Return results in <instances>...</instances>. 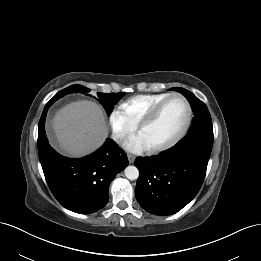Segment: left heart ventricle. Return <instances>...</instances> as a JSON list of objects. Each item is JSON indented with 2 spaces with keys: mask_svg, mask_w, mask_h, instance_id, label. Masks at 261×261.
<instances>
[{
  "mask_svg": "<svg viewBox=\"0 0 261 261\" xmlns=\"http://www.w3.org/2000/svg\"><path fill=\"white\" fill-rule=\"evenodd\" d=\"M185 118L184 103L180 99L174 98L165 104L154 122L143 128L139 135L147 147L164 144L179 133Z\"/></svg>",
  "mask_w": 261,
  "mask_h": 261,
  "instance_id": "left-heart-ventricle-1",
  "label": "left heart ventricle"
}]
</instances>
